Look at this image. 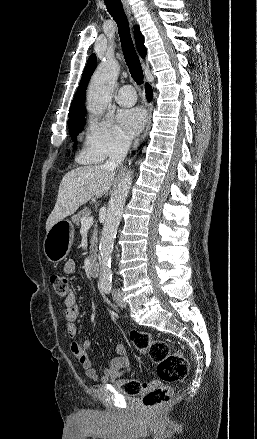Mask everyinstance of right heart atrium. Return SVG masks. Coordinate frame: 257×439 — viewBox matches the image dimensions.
<instances>
[{
	"instance_id": "right-heart-atrium-1",
	"label": "right heart atrium",
	"mask_w": 257,
	"mask_h": 439,
	"mask_svg": "<svg viewBox=\"0 0 257 439\" xmlns=\"http://www.w3.org/2000/svg\"><path fill=\"white\" fill-rule=\"evenodd\" d=\"M127 145V136L113 119L90 117L84 128L79 157L88 163H100L121 154Z\"/></svg>"
}]
</instances>
